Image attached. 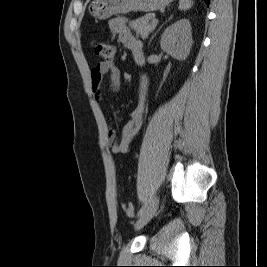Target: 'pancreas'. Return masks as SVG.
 Wrapping results in <instances>:
<instances>
[{
	"mask_svg": "<svg viewBox=\"0 0 267 267\" xmlns=\"http://www.w3.org/2000/svg\"><path fill=\"white\" fill-rule=\"evenodd\" d=\"M153 19L152 14H146L130 23L131 28L136 32L137 36L142 39L148 38V35L155 29L156 25L150 23Z\"/></svg>",
	"mask_w": 267,
	"mask_h": 267,
	"instance_id": "cf45deb5",
	"label": "pancreas"
}]
</instances>
